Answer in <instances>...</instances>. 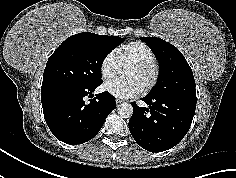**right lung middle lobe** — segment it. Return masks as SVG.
I'll return each mask as SVG.
<instances>
[{
  "mask_svg": "<svg viewBox=\"0 0 236 178\" xmlns=\"http://www.w3.org/2000/svg\"><path fill=\"white\" fill-rule=\"evenodd\" d=\"M123 41L121 37L87 32L68 37L49 57L42 85L99 86L103 82L101 67L105 57Z\"/></svg>",
  "mask_w": 236,
  "mask_h": 178,
  "instance_id": "right-lung-middle-lobe-1",
  "label": "right lung middle lobe"
}]
</instances>
